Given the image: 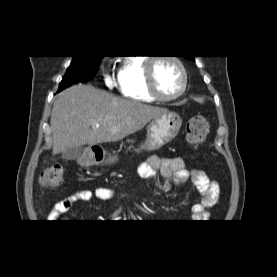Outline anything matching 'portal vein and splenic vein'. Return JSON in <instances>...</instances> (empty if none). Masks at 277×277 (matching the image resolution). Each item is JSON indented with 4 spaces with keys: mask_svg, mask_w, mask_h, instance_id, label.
<instances>
[{
    "mask_svg": "<svg viewBox=\"0 0 277 277\" xmlns=\"http://www.w3.org/2000/svg\"><path fill=\"white\" fill-rule=\"evenodd\" d=\"M92 124H93V128L98 127V124L95 121H93Z\"/></svg>",
    "mask_w": 277,
    "mask_h": 277,
    "instance_id": "obj_1",
    "label": "portal vein and splenic vein"
}]
</instances>
